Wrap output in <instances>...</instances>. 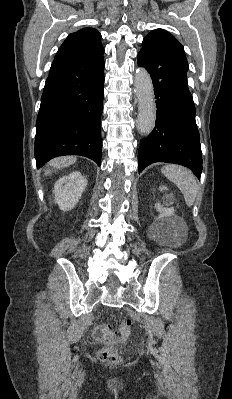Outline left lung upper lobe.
<instances>
[{
  "label": "left lung upper lobe",
  "instance_id": "5c2ea615",
  "mask_svg": "<svg viewBox=\"0 0 232 399\" xmlns=\"http://www.w3.org/2000/svg\"><path fill=\"white\" fill-rule=\"evenodd\" d=\"M143 44H157L169 49L188 70V62L182 44L163 29L151 31L143 40Z\"/></svg>",
  "mask_w": 232,
  "mask_h": 399
}]
</instances>
